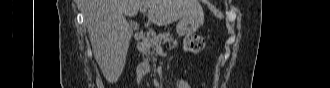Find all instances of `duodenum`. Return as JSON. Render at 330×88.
<instances>
[{
    "label": "duodenum",
    "instance_id": "1",
    "mask_svg": "<svg viewBox=\"0 0 330 88\" xmlns=\"http://www.w3.org/2000/svg\"><path fill=\"white\" fill-rule=\"evenodd\" d=\"M138 71L141 76H144L150 71V65L148 63H142L138 66Z\"/></svg>",
    "mask_w": 330,
    "mask_h": 88
}]
</instances>
